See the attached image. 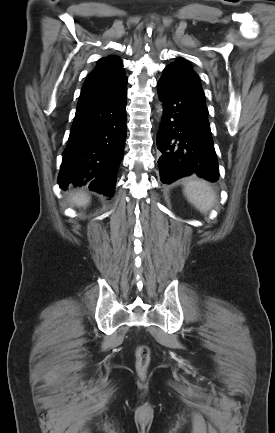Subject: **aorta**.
<instances>
[{"instance_id": "obj_1", "label": "aorta", "mask_w": 275, "mask_h": 433, "mask_svg": "<svg viewBox=\"0 0 275 433\" xmlns=\"http://www.w3.org/2000/svg\"><path fill=\"white\" fill-rule=\"evenodd\" d=\"M162 111H163L162 106L159 105V106H158V113H159V114H162Z\"/></svg>"}]
</instances>
